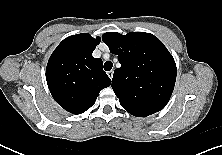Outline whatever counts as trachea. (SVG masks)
<instances>
[{
  "label": "trachea",
  "mask_w": 222,
  "mask_h": 155,
  "mask_svg": "<svg viewBox=\"0 0 222 155\" xmlns=\"http://www.w3.org/2000/svg\"><path fill=\"white\" fill-rule=\"evenodd\" d=\"M112 67H113V63H112L111 61L105 62V64H104V70L110 71V70L112 69Z\"/></svg>",
  "instance_id": "trachea-1"
}]
</instances>
